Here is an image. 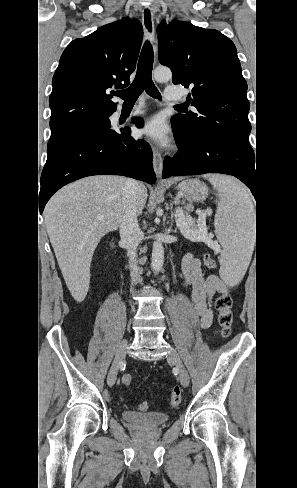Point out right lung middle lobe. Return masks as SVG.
<instances>
[{"label": "right lung middle lobe", "instance_id": "right-lung-middle-lobe-1", "mask_svg": "<svg viewBox=\"0 0 297 488\" xmlns=\"http://www.w3.org/2000/svg\"><path fill=\"white\" fill-rule=\"evenodd\" d=\"M110 127V120L108 118H103V119H97V120H92V121H87L83 122L80 124H77L75 126L66 128L64 130H61L59 132L51 133L48 145H47V151L49 152L52 150L58 143L61 141L84 131L91 130V129H102L104 127Z\"/></svg>", "mask_w": 297, "mask_h": 488}]
</instances>
